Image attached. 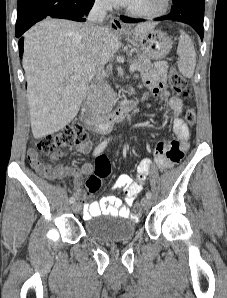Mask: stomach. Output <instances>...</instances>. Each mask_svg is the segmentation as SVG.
Wrapping results in <instances>:
<instances>
[{
    "instance_id": "obj_1",
    "label": "stomach",
    "mask_w": 227,
    "mask_h": 298,
    "mask_svg": "<svg viewBox=\"0 0 227 298\" xmlns=\"http://www.w3.org/2000/svg\"><path fill=\"white\" fill-rule=\"evenodd\" d=\"M125 34L131 36L145 55L154 60L165 58L172 48L171 38L161 30L152 29L141 37L134 36L129 31H126Z\"/></svg>"
}]
</instances>
